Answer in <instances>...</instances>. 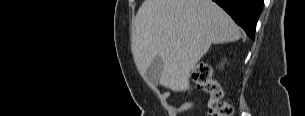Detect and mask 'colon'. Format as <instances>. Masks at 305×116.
I'll use <instances>...</instances> for the list:
<instances>
[{"label":"colon","mask_w":305,"mask_h":116,"mask_svg":"<svg viewBox=\"0 0 305 116\" xmlns=\"http://www.w3.org/2000/svg\"><path fill=\"white\" fill-rule=\"evenodd\" d=\"M192 79L209 96L206 116L232 115L233 108L223 99V92L218 82L213 79L212 70L208 65H196L192 70Z\"/></svg>","instance_id":"1"}]
</instances>
